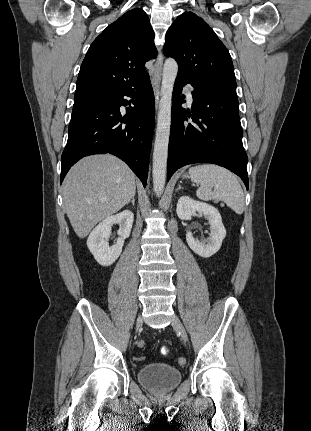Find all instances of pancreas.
<instances>
[{"instance_id":"cf45deb5","label":"pancreas","mask_w":311,"mask_h":431,"mask_svg":"<svg viewBox=\"0 0 311 431\" xmlns=\"http://www.w3.org/2000/svg\"><path fill=\"white\" fill-rule=\"evenodd\" d=\"M214 204H218V200H214Z\"/></svg>"}]
</instances>
